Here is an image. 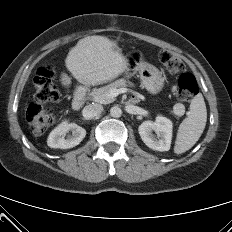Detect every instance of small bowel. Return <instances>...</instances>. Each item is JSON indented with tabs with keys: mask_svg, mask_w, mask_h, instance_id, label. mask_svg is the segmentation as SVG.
<instances>
[{
	"mask_svg": "<svg viewBox=\"0 0 232 232\" xmlns=\"http://www.w3.org/2000/svg\"><path fill=\"white\" fill-rule=\"evenodd\" d=\"M133 100H137V98L136 97H134V98H132Z\"/></svg>",
	"mask_w": 232,
	"mask_h": 232,
	"instance_id": "small-bowel-1",
	"label": "small bowel"
}]
</instances>
